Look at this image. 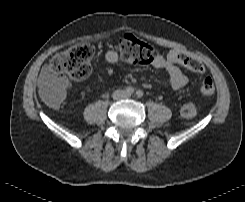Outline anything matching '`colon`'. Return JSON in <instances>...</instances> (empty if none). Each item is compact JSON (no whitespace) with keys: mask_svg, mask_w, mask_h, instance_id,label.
<instances>
[{"mask_svg":"<svg viewBox=\"0 0 245 202\" xmlns=\"http://www.w3.org/2000/svg\"><path fill=\"white\" fill-rule=\"evenodd\" d=\"M119 52L121 58L129 64H145L152 62L157 57L156 48L138 37L127 35L120 40ZM95 48L90 43H79L68 47L57 53L51 59V70L58 75H63L73 81L85 79L91 72V62L94 57ZM177 63L185 66L195 73H202L203 63L191 54L179 51L176 55ZM215 86L211 78L203 79L200 87L202 96H212ZM66 92L59 86L47 88L43 91V98L53 107H58L66 100ZM181 115L191 119L196 115V107L192 103L184 104L181 108Z\"/></svg>","mask_w":245,"mask_h":202,"instance_id":"1","label":"colon"}]
</instances>
